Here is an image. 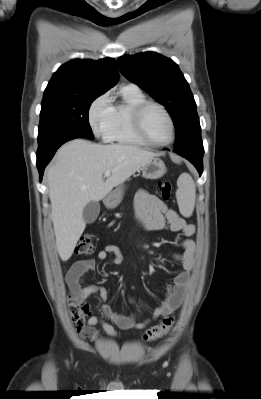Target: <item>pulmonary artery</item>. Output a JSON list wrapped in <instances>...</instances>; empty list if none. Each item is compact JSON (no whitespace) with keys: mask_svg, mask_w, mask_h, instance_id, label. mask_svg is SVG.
Here are the masks:
<instances>
[{"mask_svg":"<svg viewBox=\"0 0 261 399\" xmlns=\"http://www.w3.org/2000/svg\"><path fill=\"white\" fill-rule=\"evenodd\" d=\"M126 87L138 89V86L133 84V83H130V84L126 85Z\"/></svg>","mask_w":261,"mask_h":399,"instance_id":"pulmonary-artery-1","label":"pulmonary artery"}]
</instances>
